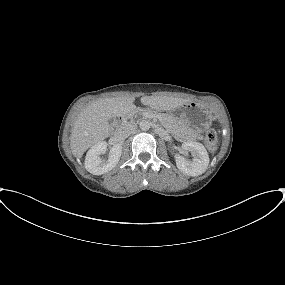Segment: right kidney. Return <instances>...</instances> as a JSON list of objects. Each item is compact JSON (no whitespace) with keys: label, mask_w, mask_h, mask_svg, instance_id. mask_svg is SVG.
I'll return each mask as SVG.
<instances>
[{"label":"right kidney","mask_w":285,"mask_h":285,"mask_svg":"<svg viewBox=\"0 0 285 285\" xmlns=\"http://www.w3.org/2000/svg\"><path fill=\"white\" fill-rule=\"evenodd\" d=\"M107 150L105 141L98 142L93 145L87 152L85 158V168L88 172L94 175H102L112 170L120 160L122 146L115 144L109 152L108 159H102L101 155Z\"/></svg>","instance_id":"ca27d5eb"}]
</instances>
